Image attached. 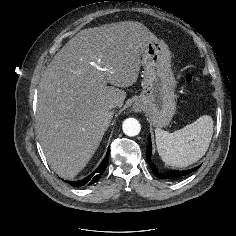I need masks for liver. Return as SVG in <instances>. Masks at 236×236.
Masks as SVG:
<instances>
[{
	"instance_id": "obj_1",
	"label": "liver",
	"mask_w": 236,
	"mask_h": 236,
	"mask_svg": "<svg viewBox=\"0 0 236 236\" xmlns=\"http://www.w3.org/2000/svg\"><path fill=\"white\" fill-rule=\"evenodd\" d=\"M156 40L139 22H118L80 31L54 56L39 83L37 131L60 177H75L90 161L113 117L108 105H123L118 87L137 81L140 56Z\"/></svg>"
}]
</instances>
